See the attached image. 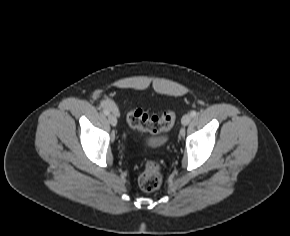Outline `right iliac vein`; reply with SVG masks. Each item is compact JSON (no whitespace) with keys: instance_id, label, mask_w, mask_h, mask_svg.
Returning <instances> with one entry per match:
<instances>
[{"instance_id":"63e3f726","label":"right iliac vein","mask_w":290,"mask_h":236,"mask_svg":"<svg viewBox=\"0 0 290 236\" xmlns=\"http://www.w3.org/2000/svg\"><path fill=\"white\" fill-rule=\"evenodd\" d=\"M108 120H109V122H110V124H111L112 126H116V125H117V118H116V115H113V114L109 115V116H108Z\"/></svg>"}]
</instances>
